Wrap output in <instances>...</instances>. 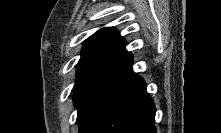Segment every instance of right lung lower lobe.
<instances>
[{
	"mask_svg": "<svg viewBox=\"0 0 221 133\" xmlns=\"http://www.w3.org/2000/svg\"><path fill=\"white\" fill-rule=\"evenodd\" d=\"M132 59L99 75L77 116L79 133H156L155 105Z\"/></svg>",
	"mask_w": 221,
	"mask_h": 133,
	"instance_id": "right-lung-lower-lobe-1",
	"label": "right lung lower lobe"
}]
</instances>
